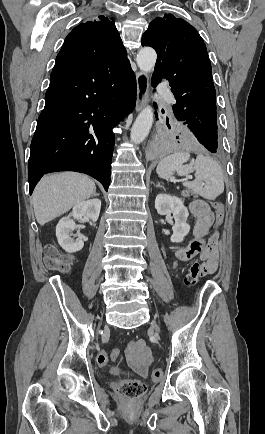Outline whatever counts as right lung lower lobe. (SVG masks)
I'll return each mask as SVG.
<instances>
[{
    "instance_id": "right-lung-lower-lobe-1",
    "label": "right lung lower lobe",
    "mask_w": 265,
    "mask_h": 434,
    "mask_svg": "<svg viewBox=\"0 0 265 434\" xmlns=\"http://www.w3.org/2000/svg\"><path fill=\"white\" fill-rule=\"evenodd\" d=\"M136 78L126 57L101 64L55 65L34 133L28 164L30 194L50 172L76 171L108 190L113 127L135 107Z\"/></svg>"
}]
</instances>
